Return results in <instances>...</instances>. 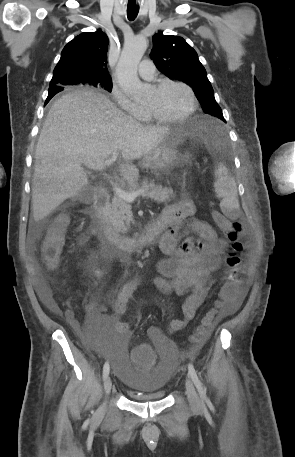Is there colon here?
I'll use <instances>...</instances> for the list:
<instances>
[{"mask_svg": "<svg viewBox=\"0 0 295 457\" xmlns=\"http://www.w3.org/2000/svg\"><path fill=\"white\" fill-rule=\"evenodd\" d=\"M212 218L216 225L224 232L225 237L231 245V251L226 258V267L224 270L226 283L221 288L220 301L218 303L219 307L224 306L229 308L238 299L244 275V264L242 260V253L245 249L243 226L240 222L231 221L217 211L212 213ZM66 225V217H60L43 240L41 253L45 263L51 269L56 268L59 264ZM215 315L216 311H212L203 318L202 324L194 336L196 342H201L208 335ZM131 358L134 360L133 372H153V346H133Z\"/></svg>", "mask_w": 295, "mask_h": 457, "instance_id": "1", "label": "colon"}]
</instances>
